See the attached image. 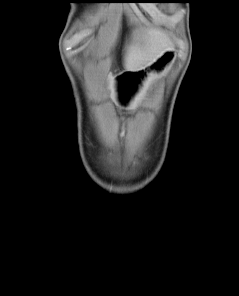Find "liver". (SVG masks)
I'll return each mask as SVG.
<instances>
[{
  "label": "liver",
  "mask_w": 239,
  "mask_h": 296,
  "mask_svg": "<svg viewBox=\"0 0 239 296\" xmlns=\"http://www.w3.org/2000/svg\"><path fill=\"white\" fill-rule=\"evenodd\" d=\"M173 44L170 38L157 29H146L145 32L133 38V42L126 47L124 67L136 71L155 61Z\"/></svg>",
  "instance_id": "1"
}]
</instances>
